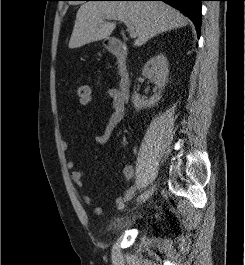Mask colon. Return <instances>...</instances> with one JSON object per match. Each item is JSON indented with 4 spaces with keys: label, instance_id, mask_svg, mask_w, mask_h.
<instances>
[{
    "label": "colon",
    "instance_id": "colon-1",
    "mask_svg": "<svg viewBox=\"0 0 245 265\" xmlns=\"http://www.w3.org/2000/svg\"><path fill=\"white\" fill-rule=\"evenodd\" d=\"M75 95L82 106H88L92 101V90L88 85H78Z\"/></svg>",
    "mask_w": 245,
    "mask_h": 265
}]
</instances>
